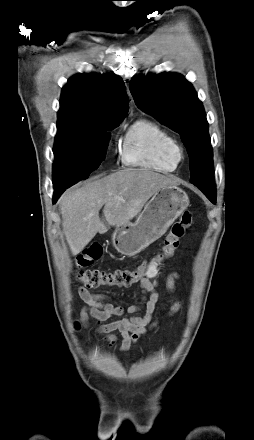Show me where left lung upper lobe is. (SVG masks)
<instances>
[{
    "label": "left lung upper lobe",
    "instance_id": "obj_1",
    "mask_svg": "<svg viewBox=\"0 0 254 440\" xmlns=\"http://www.w3.org/2000/svg\"><path fill=\"white\" fill-rule=\"evenodd\" d=\"M130 91L138 107L180 134L190 158L191 183L215 204L213 153L201 101L184 76L176 73L137 76Z\"/></svg>",
    "mask_w": 254,
    "mask_h": 440
}]
</instances>
